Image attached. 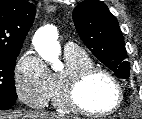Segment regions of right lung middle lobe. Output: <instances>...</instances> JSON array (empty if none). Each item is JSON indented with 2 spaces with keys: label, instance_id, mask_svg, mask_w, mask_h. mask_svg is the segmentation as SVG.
Listing matches in <instances>:
<instances>
[{
  "label": "right lung middle lobe",
  "instance_id": "right-lung-middle-lobe-1",
  "mask_svg": "<svg viewBox=\"0 0 142 119\" xmlns=\"http://www.w3.org/2000/svg\"><path fill=\"white\" fill-rule=\"evenodd\" d=\"M19 52L0 54V101L15 103L14 69Z\"/></svg>",
  "mask_w": 142,
  "mask_h": 119
}]
</instances>
